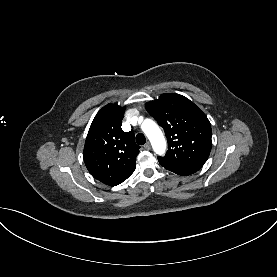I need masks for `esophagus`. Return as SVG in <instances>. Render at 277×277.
<instances>
[{
  "label": "esophagus",
  "mask_w": 277,
  "mask_h": 277,
  "mask_svg": "<svg viewBox=\"0 0 277 277\" xmlns=\"http://www.w3.org/2000/svg\"><path fill=\"white\" fill-rule=\"evenodd\" d=\"M150 148H151V145H150L149 142H147V143L144 145V149L150 150Z\"/></svg>",
  "instance_id": "obj_1"
}]
</instances>
